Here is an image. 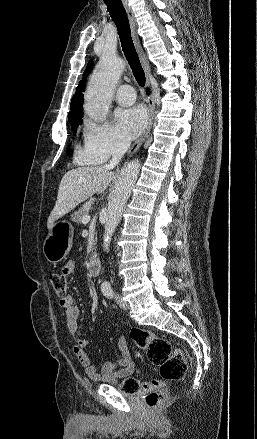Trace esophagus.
Listing matches in <instances>:
<instances>
[{"instance_id": "34e87169", "label": "esophagus", "mask_w": 257, "mask_h": 439, "mask_svg": "<svg viewBox=\"0 0 257 439\" xmlns=\"http://www.w3.org/2000/svg\"><path fill=\"white\" fill-rule=\"evenodd\" d=\"M121 2L124 6V9L126 11V14H127L128 20H129V24H130V28H131V35H132V39H133L135 48L138 52V55L140 57L144 71L146 73V77H147L146 83L148 86H150V66H149V62H148L146 53L143 51L141 44H140L139 36L137 33L136 19L134 17L132 9L130 8V6L128 4V1L121 0ZM148 107H149V118H148V123H147L146 129L143 132V134L131 146V148L128 151V155H132L141 147V145L143 144V142L145 141V139L147 138V136L151 130L154 112H155V99H154L153 95H150L148 97Z\"/></svg>"}]
</instances>
